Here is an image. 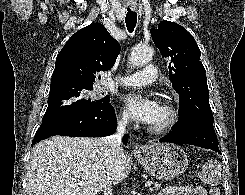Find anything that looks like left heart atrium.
Returning a JSON list of instances; mask_svg holds the SVG:
<instances>
[{
    "instance_id": "obj_1",
    "label": "left heart atrium",
    "mask_w": 245,
    "mask_h": 195,
    "mask_svg": "<svg viewBox=\"0 0 245 195\" xmlns=\"http://www.w3.org/2000/svg\"><path fill=\"white\" fill-rule=\"evenodd\" d=\"M122 100L129 114L140 123L151 125L158 116L160 104L150 97L131 92Z\"/></svg>"
}]
</instances>
